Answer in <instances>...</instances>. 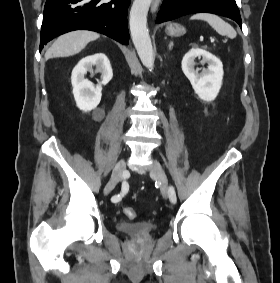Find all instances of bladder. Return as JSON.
Returning <instances> with one entry per match:
<instances>
[{
    "label": "bladder",
    "mask_w": 280,
    "mask_h": 283,
    "mask_svg": "<svg viewBox=\"0 0 280 283\" xmlns=\"http://www.w3.org/2000/svg\"><path fill=\"white\" fill-rule=\"evenodd\" d=\"M116 228L118 231L133 236L136 238H143L149 236L155 231V224L151 222L141 221V222H123L117 223Z\"/></svg>",
    "instance_id": "bladder-1"
}]
</instances>
